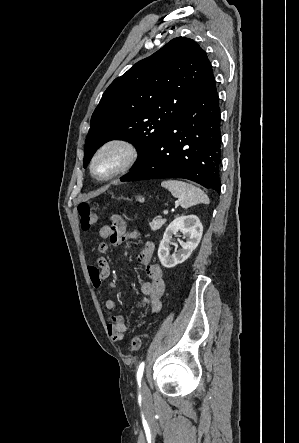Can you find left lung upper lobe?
<instances>
[{"mask_svg": "<svg viewBox=\"0 0 299 443\" xmlns=\"http://www.w3.org/2000/svg\"><path fill=\"white\" fill-rule=\"evenodd\" d=\"M213 77L205 51L178 37L116 78L104 92L90 122L84 167L105 142H137L134 168L151 152L174 119Z\"/></svg>", "mask_w": 299, "mask_h": 443, "instance_id": "1", "label": "left lung upper lobe"}]
</instances>
